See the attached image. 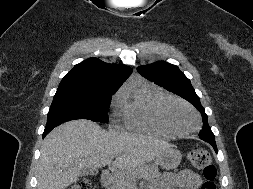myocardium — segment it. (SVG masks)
Listing matches in <instances>:
<instances>
[{"instance_id":"myocardium-1","label":"myocardium","mask_w":253,"mask_h":189,"mask_svg":"<svg viewBox=\"0 0 253 189\" xmlns=\"http://www.w3.org/2000/svg\"><path fill=\"white\" fill-rule=\"evenodd\" d=\"M170 104H177V105H181L187 108L193 114L195 118V121H196L195 127L188 130H180L177 127H175L172 124V122L168 119L167 113H166L167 106ZM154 116L157 123L160 126H162L164 129H166L173 135H177V136H185V135L195 133L199 129L200 124H201L200 117L197 111L187 102L173 96H165L156 104L155 109H154Z\"/></svg>"}]
</instances>
